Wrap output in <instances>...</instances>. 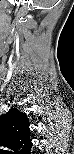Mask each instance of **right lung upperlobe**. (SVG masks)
I'll return each mask as SVG.
<instances>
[{
  "instance_id": "cb5924a9",
  "label": "right lung upper lobe",
  "mask_w": 74,
  "mask_h": 154,
  "mask_svg": "<svg viewBox=\"0 0 74 154\" xmlns=\"http://www.w3.org/2000/svg\"><path fill=\"white\" fill-rule=\"evenodd\" d=\"M18 114H20V115H18V116L24 117V118H25V116H24L22 113H19V112H18ZM12 115H14V114H8V116H12Z\"/></svg>"
}]
</instances>
